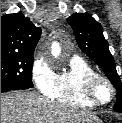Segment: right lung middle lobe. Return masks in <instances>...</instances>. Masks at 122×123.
<instances>
[{"instance_id":"right-lung-middle-lobe-1","label":"right lung middle lobe","mask_w":122,"mask_h":123,"mask_svg":"<svg viewBox=\"0 0 122 123\" xmlns=\"http://www.w3.org/2000/svg\"><path fill=\"white\" fill-rule=\"evenodd\" d=\"M33 55L1 53V82L32 88Z\"/></svg>"}]
</instances>
